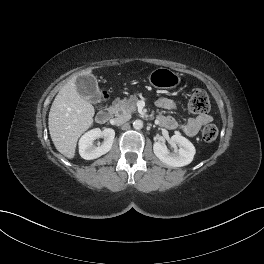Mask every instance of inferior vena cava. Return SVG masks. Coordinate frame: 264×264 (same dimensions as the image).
I'll return each mask as SVG.
<instances>
[{
    "label": "inferior vena cava",
    "mask_w": 264,
    "mask_h": 264,
    "mask_svg": "<svg viewBox=\"0 0 264 264\" xmlns=\"http://www.w3.org/2000/svg\"><path fill=\"white\" fill-rule=\"evenodd\" d=\"M130 118H131L130 115L122 114V115L118 116L117 118H115V119H114V122H115L116 124H124V123L127 122Z\"/></svg>",
    "instance_id": "obj_1"
}]
</instances>
